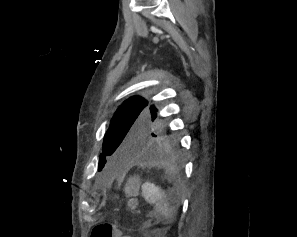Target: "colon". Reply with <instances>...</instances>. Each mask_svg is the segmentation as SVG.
Listing matches in <instances>:
<instances>
[{
    "label": "colon",
    "instance_id": "1",
    "mask_svg": "<svg viewBox=\"0 0 297 237\" xmlns=\"http://www.w3.org/2000/svg\"><path fill=\"white\" fill-rule=\"evenodd\" d=\"M135 186V182H130L126 185V193L129 196L134 195ZM91 237H128V235L123 234V230L120 226L110 222H104L93 228Z\"/></svg>",
    "mask_w": 297,
    "mask_h": 237
}]
</instances>
